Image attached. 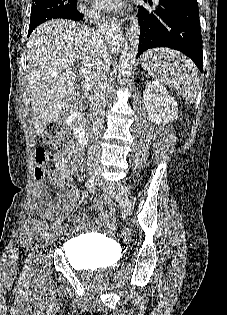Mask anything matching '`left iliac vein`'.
Wrapping results in <instances>:
<instances>
[{"label": "left iliac vein", "mask_w": 227, "mask_h": 315, "mask_svg": "<svg viewBox=\"0 0 227 315\" xmlns=\"http://www.w3.org/2000/svg\"><path fill=\"white\" fill-rule=\"evenodd\" d=\"M98 185L106 187L109 194L118 201L124 213L130 216L134 209V204L129 197V189L122 183L106 182L102 177H98Z\"/></svg>", "instance_id": "4c4485c4"}]
</instances>
